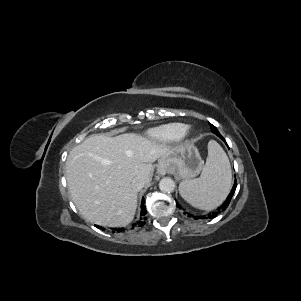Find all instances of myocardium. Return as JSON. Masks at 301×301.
I'll return each instance as SVG.
<instances>
[{
	"mask_svg": "<svg viewBox=\"0 0 301 301\" xmlns=\"http://www.w3.org/2000/svg\"><path fill=\"white\" fill-rule=\"evenodd\" d=\"M195 135V131L193 129H187L186 133L183 137L191 138Z\"/></svg>",
	"mask_w": 301,
	"mask_h": 301,
	"instance_id": "obj_1",
	"label": "myocardium"
}]
</instances>
